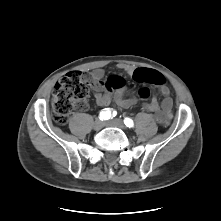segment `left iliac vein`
<instances>
[{
    "mask_svg": "<svg viewBox=\"0 0 221 221\" xmlns=\"http://www.w3.org/2000/svg\"><path fill=\"white\" fill-rule=\"evenodd\" d=\"M106 125L118 127L121 129H124V127H125L123 121L120 119L110 120V121L106 122Z\"/></svg>",
    "mask_w": 221,
    "mask_h": 221,
    "instance_id": "obj_1",
    "label": "left iliac vein"
}]
</instances>
